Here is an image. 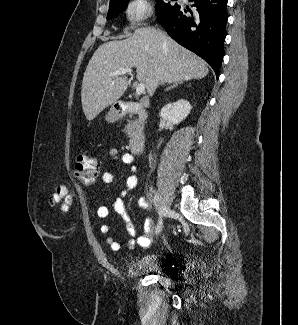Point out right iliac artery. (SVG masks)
Masks as SVG:
<instances>
[{
	"label": "right iliac artery",
	"instance_id": "1",
	"mask_svg": "<svg viewBox=\"0 0 298 325\" xmlns=\"http://www.w3.org/2000/svg\"><path fill=\"white\" fill-rule=\"evenodd\" d=\"M161 230H162V220L159 219L156 227V234H158Z\"/></svg>",
	"mask_w": 298,
	"mask_h": 325
}]
</instances>
